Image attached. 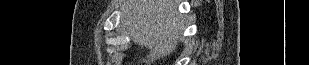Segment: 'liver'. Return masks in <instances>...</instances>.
<instances>
[{"mask_svg":"<svg viewBox=\"0 0 309 65\" xmlns=\"http://www.w3.org/2000/svg\"><path fill=\"white\" fill-rule=\"evenodd\" d=\"M178 4V0H124V26L135 44L150 49L149 59L175 51L184 28Z\"/></svg>","mask_w":309,"mask_h":65,"instance_id":"6515ba94","label":"liver"}]
</instances>
